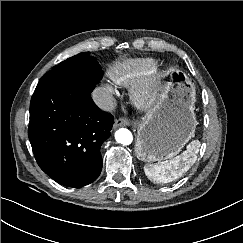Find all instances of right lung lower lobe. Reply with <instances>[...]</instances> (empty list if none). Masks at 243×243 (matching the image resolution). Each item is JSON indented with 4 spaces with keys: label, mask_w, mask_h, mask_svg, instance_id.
Returning a JSON list of instances; mask_svg holds the SVG:
<instances>
[{
    "label": "right lung lower lobe",
    "mask_w": 243,
    "mask_h": 243,
    "mask_svg": "<svg viewBox=\"0 0 243 243\" xmlns=\"http://www.w3.org/2000/svg\"><path fill=\"white\" fill-rule=\"evenodd\" d=\"M95 82L38 83L28 136L40 168L57 183L82 187L102 170L100 148L114 124L91 98Z\"/></svg>",
    "instance_id": "1"
}]
</instances>
